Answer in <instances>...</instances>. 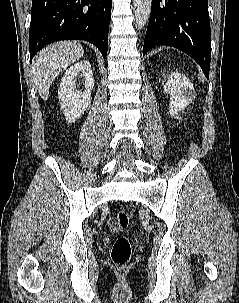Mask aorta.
<instances>
[{
    "mask_svg": "<svg viewBox=\"0 0 239 303\" xmlns=\"http://www.w3.org/2000/svg\"><path fill=\"white\" fill-rule=\"evenodd\" d=\"M152 0H134V20L137 29H142L149 20Z\"/></svg>",
    "mask_w": 239,
    "mask_h": 303,
    "instance_id": "obj_1",
    "label": "aorta"
}]
</instances>
